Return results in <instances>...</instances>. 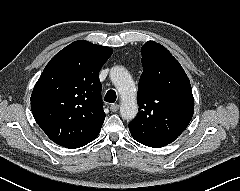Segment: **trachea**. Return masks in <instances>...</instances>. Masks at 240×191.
Listing matches in <instances>:
<instances>
[{
  "mask_svg": "<svg viewBox=\"0 0 240 191\" xmlns=\"http://www.w3.org/2000/svg\"><path fill=\"white\" fill-rule=\"evenodd\" d=\"M104 100L109 103H114L116 101V92L114 90L107 91Z\"/></svg>",
  "mask_w": 240,
  "mask_h": 191,
  "instance_id": "trachea-1",
  "label": "trachea"
}]
</instances>
